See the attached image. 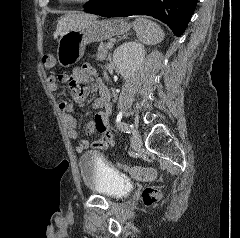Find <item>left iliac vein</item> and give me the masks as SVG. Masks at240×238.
Listing matches in <instances>:
<instances>
[{"instance_id":"obj_1","label":"left iliac vein","mask_w":240,"mask_h":238,"mask_svg":"<svg viewBox=\"0 0 240 238\" xmlns=\"http://www.w3.org/2000/svg\"><path fill=\"white\" fill-rule=\"evenodd\" d=\"M131 145L134 149H138L142 146V138H141V136L139 134V131L137 129H134L132 131Z\"/></svg>"}]
</instances>
